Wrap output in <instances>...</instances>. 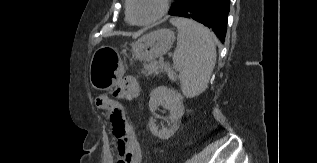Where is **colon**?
Wrapping results in <instances>:
<instances>
[{"label": "colon", "instance_id": "colon-1", "mask_svg": "<svg viewBox=\"0 0 317 163\" xmlns=\"http://www.w3.org/2000/svg\"><path fill=\"white\" fill-rule=\"evenodd\" d=\"M95 104L99 109L109 112L112 129L116 133L124 131L126 126L125 114L123 108L119 104L113 103L111 99L104 94H99L95 97Z\"/></svg>", "mask_w": 317, "mask_h": 163}]
</instances>
